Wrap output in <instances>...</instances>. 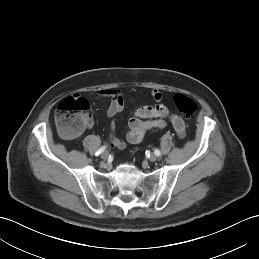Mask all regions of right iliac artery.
I'll return each instance as SVG.
<instances>
[{
	"label": "right iliac artery",
	"instance_id": "82829eb1",
	"mask_svg": "<svg viewBox=\"0 0 259 259\" xmlns=\"http://www.w3.org/2000/svg\"><path fill=\"white\" fill-rule=\"evenodd\" d=\"M104 150H105V146H104V147H101L100 149H98V150L96 151V155L98 156V155L101 154Z\"/></svg>",
	"mask_w": 259,
	"mask_h": 259
}]
</instances>
